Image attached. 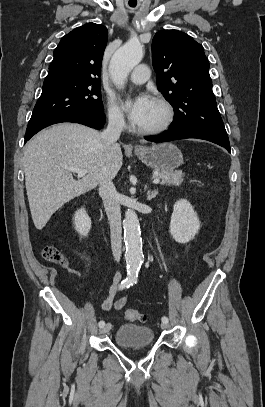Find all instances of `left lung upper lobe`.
I'll return each mask as SVG.
<instances>
[{
    "label": "left lung upper lobe",
    "instance_id": "obj_1",
    "mask_svg": "<svg viewBox=\"0 0 265 407\" xmlns=\"http://www.w3.org/2000/svg\"><path fill=\"white\" fill-rule=\"evenodd\" d=\"M157 87L174 108L170 130H195L228 141L212 91L203 46L178 30H162L152 41Z\"/></svg>",
    "mask_w": 265,
    "mask_h": 407
}]
</instances>
